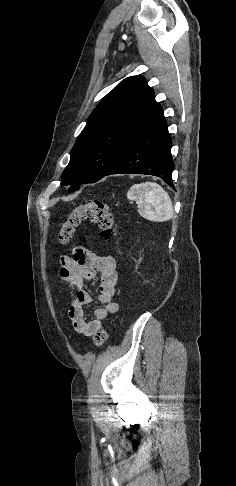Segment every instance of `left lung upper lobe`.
Listing matches in <instances>:
<instances>
[{
	"label": "left lung upper lobe",
	"instance_id": "obj_1",
	"mask_svg": "<svg viewBox=\"0 0 236 486\" xmlns=\"http://www.w3.org/2000/svg\"><path fill=\"white\" fill-rule=\"evenodd\" d=\"M163 114L145 78L121 81L91 113L70 152L62 174L68 192L81 184L95 183L125 153L133 140Z\"/></svg>",
	"mask_w": 236,
	"mask_h": 486
}]
</instances>
